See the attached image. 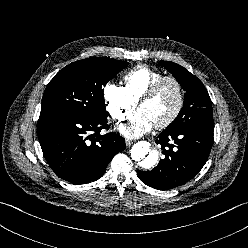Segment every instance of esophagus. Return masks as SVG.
Here are the masks:
<instances>
[{"label": "esophagus", "instance_id": "1", "mask_svg": "<svg viewBox=\"0 0 248 248\" xmlns=\"http://www.w3.org/2000/svg\"><path fill=\"white\" fill-rule=\"evenodd\" d=\"M125 143H126V146L129 147V146H131L134 143V141L129 140V139H126L125 140Z\"/></svg>", "mask_w": 248, "mask_h": 248}]
</instances>
